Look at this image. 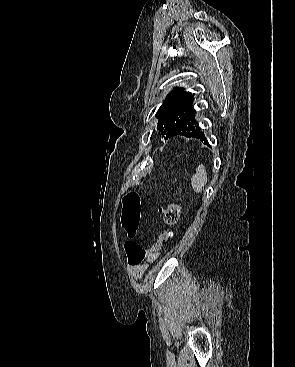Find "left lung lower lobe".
<instances>
[{"instance_id":"1","label":"left lung lower lobe","mask_w":295,"mask_h":367,"mask_svg":"<svg viewBox=\"0 0 295 367\" xmlns=\"http://www.w3.org/2000/svg\"><path fill=\"white\" fill-rule=\"evenodd\" d=\"M195 115L196 110L192 108L183 121L179 124V126L173 131L171 137L180 135L188 138H197L206 145H209L204 133L195 120Z\"/></svg>"}]
</instances>
